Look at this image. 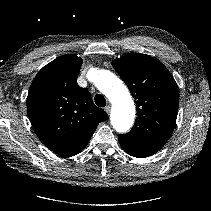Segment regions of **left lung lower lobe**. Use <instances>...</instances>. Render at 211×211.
<instances>
[{
    "mask_svg": "<svg viewBox=\"0 0 211 211\" xmlns=\"http://www.w3.org/2000/svg\"><path fill=\"white\" fill-rule=\"evenodd\" d=\"M118 140L126 153L138 158H144L155 154L166 143L165 141L140 140L124 135H119Z\"/></svg>",
    "mask_w": 211,
    "mask_h": 211,
    "instance_id": "0a47b994",
    "label": "left lung lower lobe"
}]
</instances>
